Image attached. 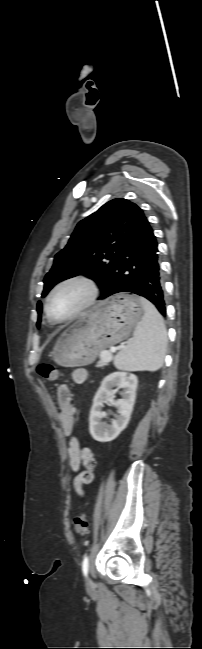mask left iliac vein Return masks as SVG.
I'll return each mask as SVG.
<instances>
[{"instance_id": "4c4485c4", "label": "left iliac vein", "mask_w": 202, "mask_h": 649, "mask_svg": "<svg viewBox=\"0 0 202 649\" xmlns=\"http://www.w3.org/2000/svg\"><path fill=\"white\" fill-rule=\"evenodd\" d=\"M86 588L87 590H91L93 588V582L89 577L86 579Z\"/></svg>"}]
</instances>
